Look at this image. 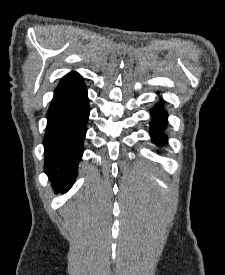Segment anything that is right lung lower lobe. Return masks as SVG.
I'll use <instances>...</instances> for the list:
<instances>
[{
    "label": "right lung lower lobe",
    "mask_w": 225,
    "mask_h": 275,
    "mask_svg": "<svg viewBox=\"0 0 225 275\" xmlns=\"http://www.w3.org/2000/svg\"><path fill=\"white\" fill-rule=\"evenodd\" d=\"M88 101L83 80L58 86L47 113L44 169L52 186L61 191L76 181L90 113Z\"/></svg>",
    "instance_id": "right-lung-lower-lobe-1"
}]
</instances>
